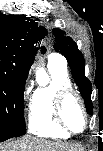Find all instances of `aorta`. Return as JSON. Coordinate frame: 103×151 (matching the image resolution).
<instances>
[{"label": "aorta", "instance_id": "aorta-1", "mask_svg": "<svg viewBox=\"0 0 103 151\" xmlns=\"http://www.w3.org/2000/svg\"><path fill=\"white\" fill-rule=\"evenodd\" d=\"M37 57H39V56H37ZM40 74L43 75V76H45V77H47V75L45 73V70L43 68H38V70H37V76L39 77Z\"/></svg>", "mask_w": 103, "mask_h": 151}]
</instances>
